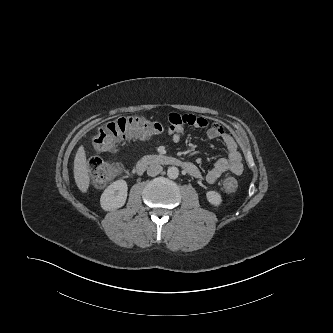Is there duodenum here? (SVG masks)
<instances>
[{
	"instance_id": "obj_1",
	"label": "duodenum",
	"mask_w": 333,
	"mask_h": 333,
	"mask_svg": "<svg viewBox=\"0 0 333 333\" xmlns=\"http://www.w3.org/2000/svg\"><path fill=\"white\" fill-rule=\"evenodd\" d=\"M174 165L180 166L185 169H188V164L186 162H182L181 160L168 156V155H161V154H154V155H147L142 157L136 164L135 169L138 174L143 173L147 167L150 165Z\"/></svg>"
}]
</instances>
